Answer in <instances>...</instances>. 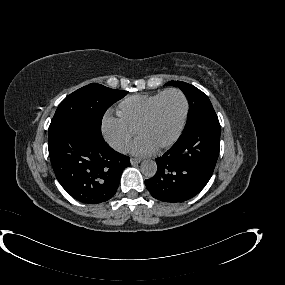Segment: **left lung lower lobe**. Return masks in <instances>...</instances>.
Instances as JSON below:
<instances>
[{
  "mask_svg": "<svg viewBox=\"0 0 285 285\" xmlns=\"http://www.w3.org/2000/svg\"><path fill=\"white\" fill-rule=\"evenodd\" d=\"M220 149L217 115L200 119L160 158L158 170L145 185L164 202H184L197 195L210 180Z\"/></svg>",
  "mask_w": 285,
  "mask_h": 285,
  "instance_id": "0a47b994",
  "label": "left lung lower lobe"
}]
</instances>
